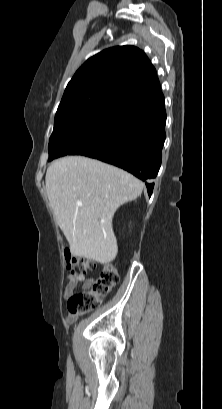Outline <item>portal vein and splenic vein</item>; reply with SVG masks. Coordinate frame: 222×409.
I'll list each match as a JSON object with an SVG mask.
<instances>
[{"mask_svg": "<svg viewBox=\"0 0 222 409\" xmlns=\"http://www.w3.org/2000/svg\"><path fill=\"white\" fill-rule=\"evenodd\" d=\"M77 205H78V206H82V201H78V202H77Z\"/></svg>", "mask_w": 222, "mask_h": 409, "instance_id": "obj_1", "label": "portal vein and splenic vein"}]
</instances>
